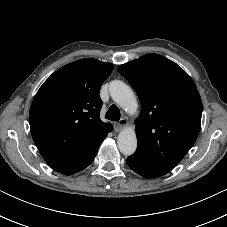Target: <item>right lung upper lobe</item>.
Instances as JSON below:
<instances>
[{
    "mask_svg": "<svg viewBox=\"0 0 227 227\" xmlns=\"http://www.w3.org/2000/svg\"><path fill=\"white\" fill-rule=\"evenodd\" d=\"M114 66L94 59L69 63L40 87L29 113L32 138L46 163L71 175L86 168L112 130L101 121L99 90Z\"/></svg>",
    "mask_w": 227,
    "mask_h": 227,
    "instance_id": "right-lung-upper-lobe-1",
    "label": "right lung upper lobe"
}]
</instances>
